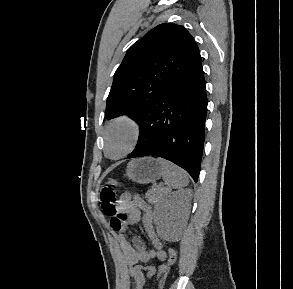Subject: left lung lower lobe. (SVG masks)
I'll return each mask as SVG.
<instances>
[{
    "label": "left lung lower lobe",
    "mask_w": 293,
    "mask_h": 289,
    "mask_svg": "<svg viewBox=\"0 0 293 289\" xmlns=\"http://www.w3.org/2000/svg\"><path fill=\"white\" fill-rule=\"evenodd\" d=\"M207 96L201 57L137 121L140 136L128 158L158 156L198 180L205 138Z\"/></svg>",
    "instance_id": "left-lung-lower-lobe-1"
}]
</instances>
